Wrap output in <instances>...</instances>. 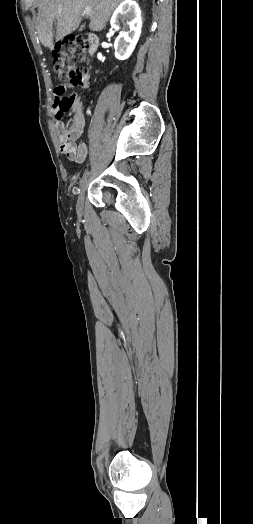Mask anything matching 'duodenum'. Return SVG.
<instances>
[{"label": "duodenum", "mask_w": 253, "mask_h": 524, "mask_svg": "<svg viewBox=\"0 0 253 524\" xmlns=\"http://www.w3.org/2000/svg\"><path fill=\"white\" fill-rule=\"evenodd\" d=\"M88 38H89V42L91 46L90 52L93 53L95 52L97 44H98V37L94 33H89Z\"/></svg>", "instance_id": "obj_1"}]
</instances>
